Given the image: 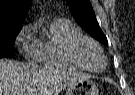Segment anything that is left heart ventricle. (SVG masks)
<instances>
[{
    "instance_id": "obj_1",
    "label": "left heart ventricle",
    "mask_w": 135,
    "mask_h": 95,
    "mask_svg": "<svg viewBox=\"0 0 135 95\" xmlns=\"http://www.w3.org/2000/svg\"><path fill=\"white\" fill-rule=\"evenodd\" d=\"M80 56L84 63L92 69H100L104 64L101 53L90 44H83L80 47Z\"/></svg>"
}]
</instances>
